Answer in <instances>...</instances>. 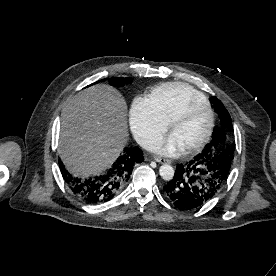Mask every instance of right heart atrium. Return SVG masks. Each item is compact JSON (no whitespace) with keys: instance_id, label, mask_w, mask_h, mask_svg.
Here are the masks:
<instances>
[{"instance_id":"obj_1","label":"right heart atrium","mask_w":276,"mask_h":276,"mask_svg":"<svg viewBox=\"0 0 276 276\" xmlns=\"http://www.w3.org/2000/svg\"><path fill=\"white\" fill-rule=\"evenodd\" d=\"M131 126L137 140L146 148H152L168 129L166 122L148 99L136 98L130 113Z\"/></svg>"}]
</instances>
